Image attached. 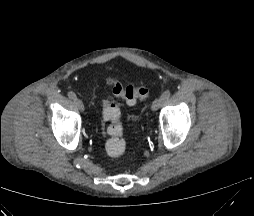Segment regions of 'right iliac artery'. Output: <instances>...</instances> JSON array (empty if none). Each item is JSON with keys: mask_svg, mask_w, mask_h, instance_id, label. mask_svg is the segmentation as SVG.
<instances>
[{"mask_svg": "<svg viewBox=\"0 0 254 216\" xmlns=\"http://www.w3.org/2000/svg\"><path fill=\"white\" fill-rule=\"evenodd\" d=\"M68 97L72 100H75L77 97H76V94L72 91L68 92Z\"/></svg>", "mask_w": 254, "mask_h": 216, "instance_id": "right-iliac-artery-1", "label": "right iliac artery"}]
</instances>
